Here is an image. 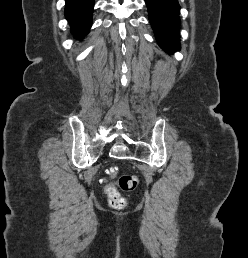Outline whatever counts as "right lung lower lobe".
Wrapping results in <instances>:
<instances>
[{
  "mask_svg": "<svg viewBox=\"0 0 248 258\" xmlns=\"http://www.w3.org/2000/svg\"><path fill=\"white\" fill-rule=\"evenodd\" d=\"M94 0H66L65 16L71 31L77 38H83L91 26Z\"/></svg>",
  "mask_w": 248,
  "mask_h": 258,
  "instance_id": "98d812e1",
  "label": "right lung lower lobe"
}]
</instances>
